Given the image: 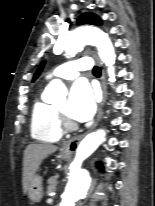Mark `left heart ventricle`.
Masks as SVG:
<instances>
[{
    "mask_svg": "<svg viewBox=\"0 0 155 206\" xmlns=\"http://www.w3.org/2000/svg\"><path fill=\"white\" fill-rule=\"evenodd\" d=\"M57 108H59V109L62 110V111H65V109H66V103L63 102V103L57 105Z\"/></svg>",
    "mask_w": 155,
    "mask_h": 206,
    "instance_id": "left-heart-ventricle-1",
    "label": "left heart ventricle"
}]
</instances>
